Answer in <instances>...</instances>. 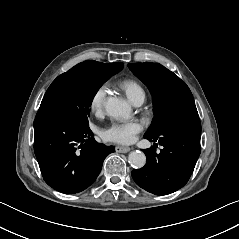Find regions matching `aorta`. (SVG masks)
Instances as JSON below:
<instances>
[{"instance_id": "obj_1", "label": "aorta", "mask_w": 239, "mask_h": 239, "mask_svg": "<svg viewBox=\"0 0 239 239\" xmlns=\"http://www.w3.org/2000/svg\"><path fill=\"white\" fill-rule=\"evenodd\" d=\"M107 114L115 119H128L131 117L130 105L117 97H108L105 103ZM129 161L135 168H142L146 163V156L141 151H133L129 155Z\"/></svg>"}]
</instances>
